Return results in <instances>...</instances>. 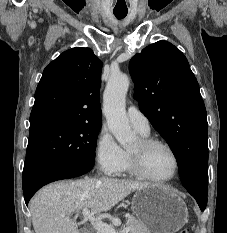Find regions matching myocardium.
<instances>
[{"instance_id":"1","label":"myocardium","mask_w":227,"mask_h":233,"mask_svg":"<svg viewBox=\"0 0 227 233\" xmlns=\"http://www.w3.org/2000/svg\"><path fill=\"white\" fill-rule=\"evenodd\" d=\"M153 146H162L166 148L173 157L174 160V170L173 173L165 178H159L151 175L144 166L143 157L145 152ZM129 158L132 169L134 173L146 180L153 181V182H169L173 180L179 172L180 168V160L179 157L174 150V148L167 142L157 139V138H150V137H142L139 139V146L136 150H129Z\"/></svg>"}]
</instances>
